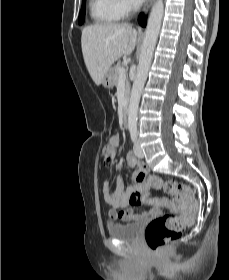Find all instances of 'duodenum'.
Here are the masks:
<instances>
[{"label":"duodenum","mask_w":229,"mask_h":280,"mask_svg":"<svg viewBox=\"0 0 229 280\" xmlns=\"http://www.w3.org/2000/svg\"><path fill=\"white\" fill-rule=\"evenodd\" d=\"M128 114H129V99L124 98L123 108H122V124L127 126L128 124Z\"/></svg>","instance_id":"duodenum-1"}]
</instances>
